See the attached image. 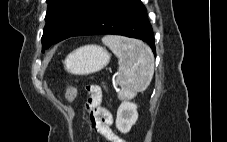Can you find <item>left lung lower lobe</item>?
<instances>
[{
    "label": "left lung lower lobe",
    "mask_w": 227,
    "mask_h": 142,
    "mask_svg": "<svg viewBox=\"0 0 227 142\" xmlns=\"http://www.w3.org/2000/svg\"><path fill=\"white\" fill-rule=\"evenodd\" d=\"M114 34L141 39L154 54V36L146 9L140 0H109L73 36Z\"/></svg>",
    "instance_id": "1"
}]
</instances>
